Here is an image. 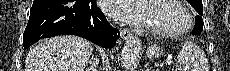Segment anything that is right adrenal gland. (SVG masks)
Here are the masks:
<instances>
[{
    "label": "right adrenal gland",
    "instance_id": "1",
    "mask_svg": "<svg viewBox=\"0 0 230 71\" xmlns=\"http://www.w3.org/2000/svg\"><path fill=\"white\" fill-rule=\"evenodd\" d=\"M97 68H98V60L92 57V62L90 64V67L85 69V71H97Z\"/></svg>",
    "mask_w": 230,
    "mask_h": 71
}]
</instances>
